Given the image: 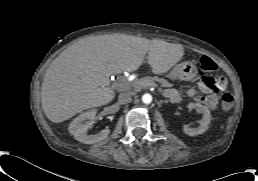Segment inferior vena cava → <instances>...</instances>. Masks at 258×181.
Returning a JSON list of instances; mask_svg holds the SVG:
<instances>
[{
    "mask_svg": "<svg viewBox=\"0 0 258 181\" xmlns=\"http://www.w3.org/2000/svg\"><path fill=\"white\" fill-rule=\"evenodd\" d=\"M132 101V97L130 93H121L118 96V103L121 105L128 104Z\"/></svg>",
    "mask_w": 258,
    "mask_h": 181,
    "instance_id": "obj_1",
    "label": "inferior vena cava"
}]
</instances>
